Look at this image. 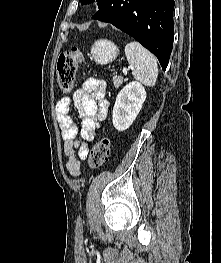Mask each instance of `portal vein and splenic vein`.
I'll use <instances>...</instances> for the list:
<instances>
[{
  "label": "portal vein and splenic vein",
  "mask_w": 221,
  "mask_h": 263,
  "mask_svg": "<svg viewBox=\"0 0 221 263\" xmlns=\"http://www.w3.org/2000/svg\"><path fill=\"white\" fill-rule=\"evenodd\" d=\"M131 67H129V69H130ZM123 73H124V75H127V69L126 68H123Z\"/></svg>",
  "instance_id": "obj_1"
}]
</instances>
